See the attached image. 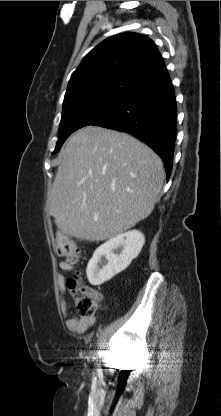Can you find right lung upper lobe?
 <instances>
[{"label": "right lung upper lobe", "mask_w": 221, "mask_h": 416, "mask_svg": "<svg viewBox=\"0 0 221 416\" xmlns=\"http://www.w3.org/2000/svg\"><path fill=\"white\" fill-rule=\"evenodd\" d=\"M167 74L163 58L149 38L118 34L85 56L71 76L64 102L102 89L135 91L164 81Z\"/></svg>", "instance_id": "cb5924a9"}]
</instances>
